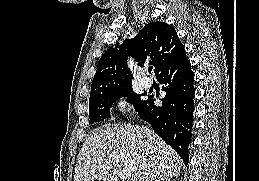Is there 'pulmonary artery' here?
Wrapping results in <instances>:
<instances>
[{
    "instance_id": "pulmonary-artery-1",
    "label": "pulmonary artery",
    "mask_w": 259,
    "mask_h": 181,
    "mask_svg": "<svg viewBox=\"0 0 259 181\" xmlns=\"http://www.w3.org/2000/svg\"><path fill=\"white\" fill-rule=\"evenodd\" d=\"M140 83L146 89H148L152 86V81L149 79H146V78H141Z\"/></svg>"
}]
</instances>
